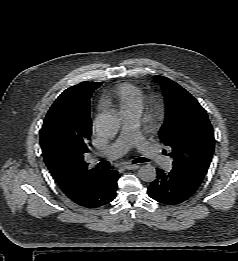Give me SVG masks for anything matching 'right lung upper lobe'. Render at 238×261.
<instances>
[{"mask_svg": "<svg viewBox=\"0 0 238 261\" xmlns=\"http://www.w3.org/2000/svg\"><path fill=\"white\" fill-rule=\"evenodd\" d=\"M100 85V82H81L66 89L60 96L68 97L71 111L60 120L45 118L40 130L46 166L71 200L81 196L101 171L97 168L88 169V163L84 161L92 133L90 97Z\"/></svg>", "mask_w": 238, "mask_h": 261, "instance_id": "obj_1", "label": "right lung upper lobe"}]
</instances>
